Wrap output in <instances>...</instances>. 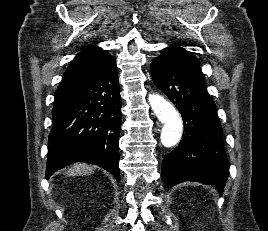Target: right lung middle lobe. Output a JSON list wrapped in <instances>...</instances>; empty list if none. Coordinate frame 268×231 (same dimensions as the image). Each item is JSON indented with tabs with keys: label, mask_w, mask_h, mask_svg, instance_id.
I'll use <instances>...</instances> for the list:
<instances>
[{
	"label": "right lung middle lobe",
	"mask_w": 268,
	"mask_h": 231,
	"mask_svg": "<svg viewBox=\"0 0 268 231\" xmlns=\"http://www.w3.org/2000/svg\"><path fill=\"white\" fill-rule=\"evenodd\" d=\"M70 94V91L68 92H55V99H54V105H58L62 103Z\"/></svg>",
	"instance_id": "dd1d6c3e"
}]
</instances>
